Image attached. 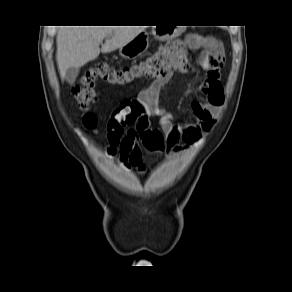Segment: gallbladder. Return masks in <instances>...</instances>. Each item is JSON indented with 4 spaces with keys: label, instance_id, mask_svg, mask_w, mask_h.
Instances as JSON below:
<instances>
[{
    "label": "gallbladder",
    "instance_id": "gallbladder-1",
    "mask_svg": "<svg viewBox=\"0 0 292 292\" xmlns=\"http://www.w3.org/2000/svg\"><path fill=\"white\" fill-rule=\"evenodd\" d=\"M79 74V68L71 67L67 69L65 79L69 84H73Z\"/></svg>",
    "mask_w": 292,
    "mask_h": 292
}]
</instances>
